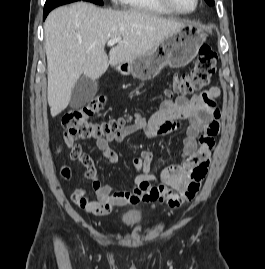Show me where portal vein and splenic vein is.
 Returning a JSON list of instances; mask_svg holds the SVG:
<instances>
[{"mask_svg":"<svg viewBox=\"0 0 265 269\" xmlns=\"http://www.w3.org/2000/svg\"><path fill=\"white\" fill-rule=\"evenodd\" d=\"M121 41V38H113V39H110L108 42H107V45L108 46H113L115 45L116 43L120 42Z\"/></svg>","mask_w":265,"mask_h":269,"instance_id":"1","label":"portal vein and splenic vein"}]
</instances>
